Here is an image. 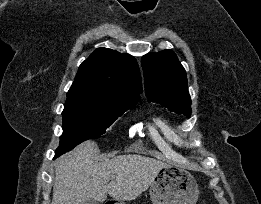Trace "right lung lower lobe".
<instances>
[{
    "instance_id": "right-lung-lower-lobe-1",
    "label": "right lung lower lobe",
    "mask_w": 261,
    "mask_h": 204,
    "mask_svg": "<svg viewBox=\"0 0 261 204\" xmlns=\"http://www.w3.org/2000/svg\"><path fill=\"white\" fill-rule=\"evenodd\" d=\"M55 156L57 157V156H60V155H58V154L56 153Z\"/></svg>"
}]
</instances>
